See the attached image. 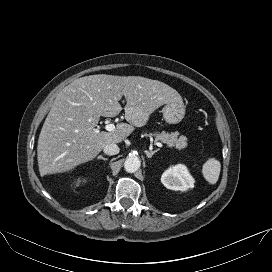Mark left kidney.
<instances>
[{"mask_svg": "<svg viewBox=\"0 0 272 272\" xmlns=\"http://www.w3.org/2000/svg\"><path fill=\"white\" fill-rule=\"evenodd\" d=\"M162 184L171 190L186 191L194 187V178L190 175L187 167L178 164L169 167L161 176Z\"/></svg>", "mask_w": 272, "mask_h": 272, "instance_id": "left-kidney-1", "label": "left kidney"}]
</instances>
